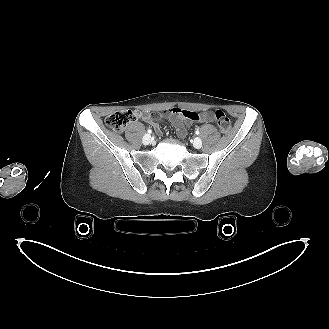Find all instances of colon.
Wrapping results in <instances>:
<instances>
[{
  "mask_svg": "<svg viewBox=\"0 0 329 329\" xmlns=\"http://www.w3.org/2000/svg\"><path fill=\"white\" fill-rule=\"evenodd\" d=\"M177 108V107H175ZM137 118V113L131 110H121L109 114L105 118V125L114 132H122L127 125ZM214 118L218 124L220 131L224 134L228 133L231 128V122L228 116L221 110L214 112Z\"/></svg>",
  "mask_w": 329,
  "mask_h": 329,
  "instance_id": "5ec220e1",
  "label": "colon"
}]
</instances>
